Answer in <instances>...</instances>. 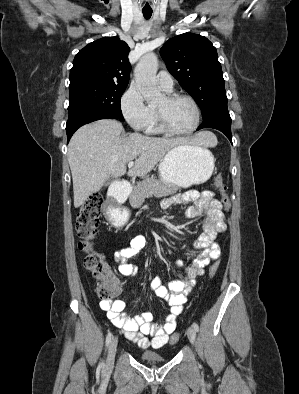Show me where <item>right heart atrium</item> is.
Here are the masks:
<instances>
[{
    "label": "right heart atrium",
    "mask_w": 299,
    "mask_h": 394,
    "mask_svg": "<svg viewBox=\"0 0 299 394\" xmlns=\"http://www.w3.org/2000/svg\"><path fill=\"white\" fill-rule=\"evenodd\" d=\"M121 110L127 123L135 130H146L153 117L152 108L146 104L135 86H130L121 99Z\"/></svg>",
    "instance_id": "right-heart-atrium-1"
}]
</instances>
